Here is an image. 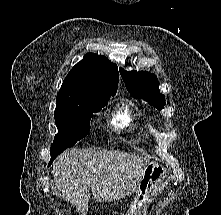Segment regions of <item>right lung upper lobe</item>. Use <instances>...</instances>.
Masks as SVG:
<instances>
[{"instance_id":"1","label":"right lung upper lobe","mask_w":221,"mask_h":215,"mask_svg":"<svg viewBox=\"0 0 221 215\" xmlns=\"http://www.w3.org/2000/svg\"><path fill=\"white\" fill-rule=\"evenodd\" d=\"M118 68L105 56L87 53L65 77L56 106L101 101L113 96L118 87Z\"/></svg>"}]
</instances>
